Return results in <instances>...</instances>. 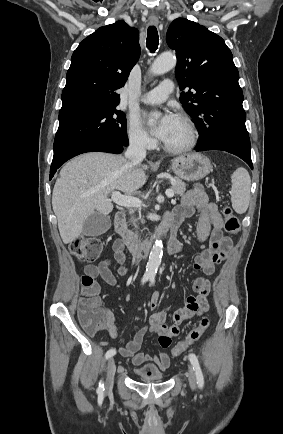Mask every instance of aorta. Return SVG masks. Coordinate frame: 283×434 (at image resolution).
Masks as SVG:
<instances>
[{
    "instance_id": "obj_1",
    "label": "aorta",
    "mask_w": 283,
    "mask_h": 434,
    "mask_svg": "<svg viewBox=\"0 0 283 434\" xmlns=\"http://www.w3.org/2000/svg\"><path fill=\"white\" fill-rule=\"evenodd\" d=\"M175 65H176V57L174 55L162 54L154 60L150 68V71L154 75H161L174 68ZM162 255H163L162 241L156 240L151 249V252L149 254V260L146 265L147 276L154 277L156 275L158 267L161 264Z\"/></svg>"
}]
</instances>
